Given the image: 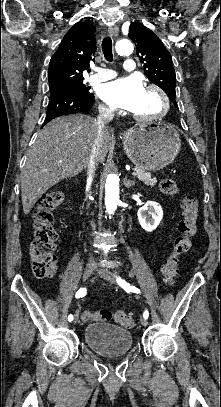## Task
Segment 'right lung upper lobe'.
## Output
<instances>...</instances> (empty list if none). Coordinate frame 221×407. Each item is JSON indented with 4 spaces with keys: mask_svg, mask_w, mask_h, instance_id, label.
<instances>
[{
    "mask_svg": "<svg viewBox=\"0 0 221 407\" xmlns=\"http://www.w3.org/2000/svg\"><path fill=\"white\" fill-rule=\"evenodd\" d=\"M95 27L78 22L66 33L50 60V89L83 82V71L94 61L96 52Z\"/></svg>",
    "mask_w": 221,
    "mask_h": 407,
    "instance_id": "obj_1",
    "label": "right lung upper lobe"
}]
</instances>
